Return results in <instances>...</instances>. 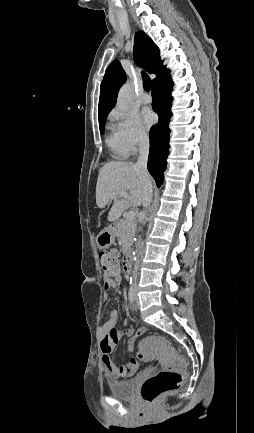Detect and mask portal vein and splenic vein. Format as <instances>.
Masks as SVG:
<instances>
[{
	"instance_id": "1",
	"label": "portal vein and splenic vein",
	"mask_w": 254,
	"mask_h": 433,
	"mask_svg": "<svg viewBox=\"0 0 254 433\" xmlns=\"http://www.w3.org/2000/svg\"><path fill=\"white\" fill-rule=\"evenodd\" d=\"M117 195H119V196H121V197H124V198H126V199L129 198L128 194L125 193V192L113 193V194L111 195V197L114 198V197H116ZM135 215H136L135 211L130 210V211L128 212V214H127V219H129V220H133V219L135 218Z\"/></svg>"
}]
</instances>
